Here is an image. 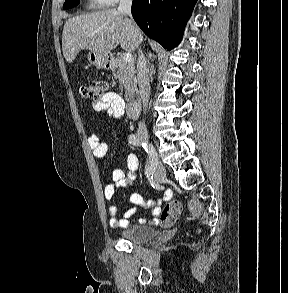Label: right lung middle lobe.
<instances>
[{
	"mask_svg": "<svg viewBox=\"0 0 288 293\" xmlns=\"http://www.w3.org/2000/svg\"><path fill=\"white\" fill-rule=\"evenodd\" d=\"M79 3V0H66L63 9H69L76 6Z\"/></svg>",
	"mask_w": 288,
	"mask_h": 293,
	"instance_id": "1",
	"label": "right lung middle lobe"
}]
</instances>
